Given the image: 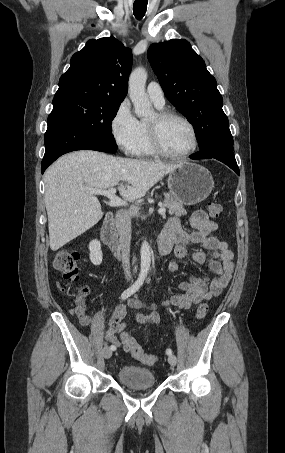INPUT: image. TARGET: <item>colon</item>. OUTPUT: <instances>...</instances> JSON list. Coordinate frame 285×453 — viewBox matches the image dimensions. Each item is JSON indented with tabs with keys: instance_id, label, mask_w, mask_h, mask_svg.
<instances>
[{
	"instance_id": "1",
	"label": "colon",
	"mask_w": 285,
	"mask_h": 453,
	"mask_svg": "<svg viewBox=\"0 0 285 453\" xmlns=\"http://www.w3.org/2000/svg\"><path fill=\"white\" fill-rule=\"evenodd\" d=\"M207 209L212 217H218L222 212L220 204L215 202H209ZM53 266L56 270L63 273L64 280L67 284H71L78 280L80 274V256L77 252L62 249L59 250L53 259ZM86 291L85 289L80 290L76 297V301L84 300ZM208 305L202 303L198 306L195 312L196 320H203L208 314ZM122 343L124 350L131 354L132 357L138 359L143 364L152 366L156 364L157 357L154 354L146 353L143 348L137 343L136 339L129 333L124 332L122 334Z\"/></svg>"
}]
</instances>
